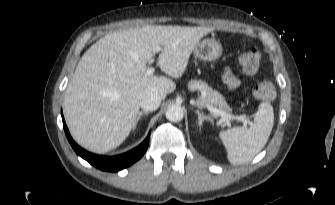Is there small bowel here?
I'll return each instance as SVG.
<instances>
[{
    "label": "small bowel",
    "instance_id": "1",
    "mask_svg": "<svg viewBox=\"0 0 335 205\" xmlns=\"http://www.w3.org/2000/svg\"><path fill=\"white\" fill-rule=\"evenodd\" d=\"M224 83L230 89H236L240 85V80L236 77L229 68H225L222 73Z\"/></svg>",
    "mask_w": 335,
    "mask_h": 205
}]
</instances>
